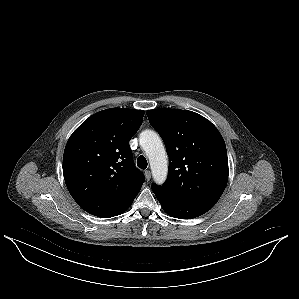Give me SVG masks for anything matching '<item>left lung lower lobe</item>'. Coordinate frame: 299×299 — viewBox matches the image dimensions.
Wrapping results in <instances>:
<instances>
[{
    "label": "left lung lower lobe",
    "instance_id": "1",
    "mask_svg": "<svg viewBox=\"0 0 299 299\" xmlns=\"http://www.w3.org/2000/svg\"><path fill=\"white\" fill-rule=\"evenodd\" d=\"M162 208L170 216L179 219H191L209 211L215 204L206 202L177 201L155 194Z\"/></svg>",
    "mask_w": 299,
    "mask_h": 299
}]
</instances>
